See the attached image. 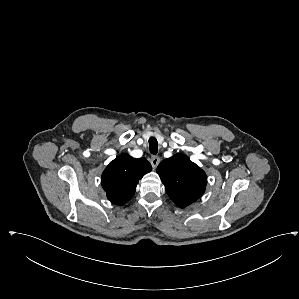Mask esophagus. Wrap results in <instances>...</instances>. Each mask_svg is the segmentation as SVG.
<instances>
[{
    "label": "esophagus",
    "mask_w": 299,
    "mask_h": 299,
    "mask_svg": "<svg viewBox=\"0 0 299 299\" xmlns=\"http://www.w3.org/2000/svg\"><path fill=\"white\" fill-rule=\"evenodd\" d=\"M150 163L153 167H157L160 163V158L158 156H152L150 159Z\"/></svg>",
    "instance_id": "1"
}]
</instances>
